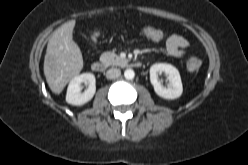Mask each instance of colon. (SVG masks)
<instances>
[{
	"label": "colon",
	"instance_id": "obj_1",
	"mask_svg": "<svg viewBox=\"0 0 248 165\" xmlns=\"http://www.w3.org/2000/svg\"><path fill=\"white\" fill-rule=\"evenodd\" d=\"M145 34L150 37L149 39L152 40H160L164 37V33L161 30L151 27H147V29L145 30ZM201 65L202 61L197 57H191L187 61V69L189 71H197L201 67Z\"/></svg>",
	"mask_w": 248,
	"mask_h": 165
}]
</instances>
